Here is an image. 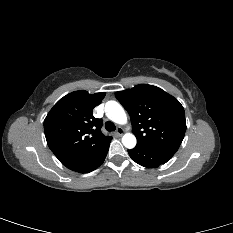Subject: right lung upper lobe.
<instances>
[{
    "label": "right lung upper lobe",
    "mask_w": 233,
    "mask_h": 233,
    "mask_svg": "<svg viewBox=\"0 0 233 233\" xmlns=\"http://www.w3.org/2000/svg\"><path fill=\"white\" fill-rule=\"evenodd\" d=\"M105 93L89 94L80 90L61 98L44 120L47 144L68 169L82 171L112 139L100 131L102 120L93 116V109Z\"/></svg>",
    "instance_id": "1"
}]
</instances>
